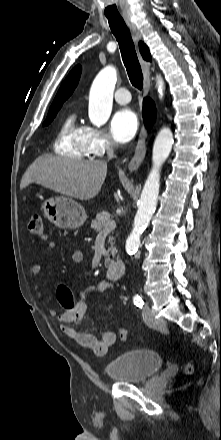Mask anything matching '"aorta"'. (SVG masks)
I'll list each match as a JSON object with an SVG mask.
<instances>
[{
	"mask_svg": "<svg viewBox=\"0 0 221 440\" xmlns=\"http://www.w3.org/2000/svg\"><path fill=\"white\" fill-rule=\"evenodd\" d=\"M116 81L115 68L108 66L99 72L92 84L88 115L91 123L95 126L104 125L110 117ZM156 85L159 96L162 97L164 82L160 76L157 77ZM173 142V134L168 127H163L155 138L152 153L153 166L141 193L133 230L126 241L128 253L137 251L140 245V236L155 211L160 187V169L171 152Z\"/></svg>",
	"mask_w": 221,
	"mask_h": 440,
	"instance_id": "1",
	"label": "aorta"
}]
</instances>
